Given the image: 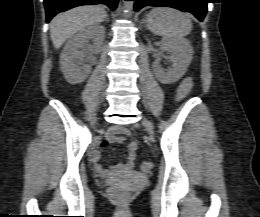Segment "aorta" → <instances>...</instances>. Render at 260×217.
I'll return each instance as SVG.
<instances>
[{
	"label": "aorta",
	"mask_w": 260,
	"mask_h": 217,
	"mask_svg": "<svg viewBox=\"0 0 260 217\" xmlns=\"http://www.w3.org/2000/svg\"><path fill=\"white\" fill-rule=\"evenodd\" d=\"M133 3L132 1H124L123 3V12L125 16H129L131 14V11L133 9Z\"/></svg>",
	"instance_id": "762f6f07"
}]
</instances>
